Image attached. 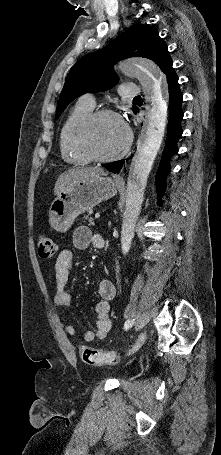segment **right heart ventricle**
Returning a JSON list of instances; mask_svg holds the SVG:
<instances>
[{
    "mask_svg": "<svg viewBox=\"0 0 221 455\" xmlns=\"http://www.w3.org/2000/svg\"><path fill=\"white\" fill-rule=\"evenodd\" d=\"M93 112V107L79 100L67 115L60 131V152L62 158L72 165H84L91 160L82 151L78 132L80 125Z\"/></svg>",
    "mask_w": 221,
    "mask_h": 455,
    "instance_id": "obj_1",
    "label": "right heart ventricle"
}]
</instances>
